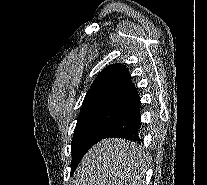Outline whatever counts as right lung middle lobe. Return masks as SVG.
I'll return each mask as SVG.
<instances>
[{
    "mask_svg": "<svg viewBox=\"0 0 207 185\" xmlns=\"http://www.w3.org/2000/svg\"><path fill=\"white\" fill-rule=\"evenodd\" d=\"M123 113V111L105 108L80 113L71 145L72 174L89 148L101 138Z\"/></svg>",
    "mask_w": 207,
    "mask_h": 185,
    "instance_id": "obj_1",
    "label": "right lung middle lobe"
}]
</instances>
